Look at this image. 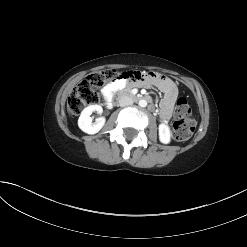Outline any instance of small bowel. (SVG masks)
Masks as SVG:
<instances>
[{"instance_id":"c3829d8e","label":"small bowel","mask_w":247,"mask_h":247,"mask_svg":"<svg viewBox=\"0 0 247 247\" xmlns=\"http://www.w3.org/2000/svg\"><path fill=\"white\" fill-rule=\"evenodd\" d=\"M124 76L125 78H119L104 87L103 96L108 107H111L114 94L120 89H123L127 84L133 85L145 81L148 84L157 86L164 94L160 104L161 120L167 122L171 118L173 107L178 96V89L169 78L158 75L153 71L135 72L132 68L127 69Z\"/></svg>"}]
</instances>
